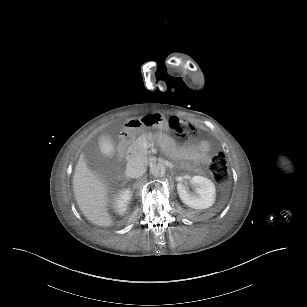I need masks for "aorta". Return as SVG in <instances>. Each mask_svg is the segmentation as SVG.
I'll return each instance as SVG.
<instances>
[{
  "label": "aorta",
  "mask_w": 307,
  "mask_h": 307,
  "mask_svg": "<svg viewBox=\"0 0 307 307\" xmlns=\"http://www.w3.org/2000/svg\"><path fill=\"white\" fill-rule=\"evenodd\" d=\"M151 173L152 175H154L155 177H164L165 175V167L163 165H156L153 166L151 169Z\"/></svg>",
  "instance_id": "762f6f07"
}]
</instances>
